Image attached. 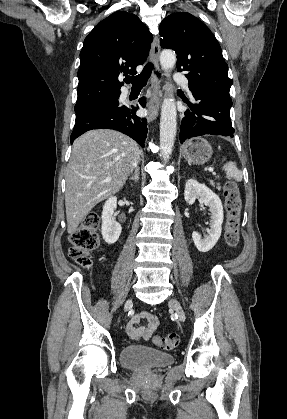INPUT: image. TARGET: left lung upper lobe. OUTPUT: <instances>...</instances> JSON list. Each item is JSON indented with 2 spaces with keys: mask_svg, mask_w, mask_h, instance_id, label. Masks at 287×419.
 <instances>
[{
  "mask_svg": "<svg viewBox=\"0 0 287 419\" xmlns=\"http://www.w3.org/2000/svg\"><path fill=\"white\" fill-rule=\"evenodd\" d=\"M162 48L177 54L178 71H186L190 90L228 93L233 81L221 47L209 28L186 12L173 13L160 24Z\"/></svg>",
  "mask_w": 287,
  "mask_h": 419,
  "instance_id": "1",
  "label": "left lung upper lobe"
}]
</instances>
